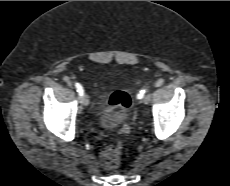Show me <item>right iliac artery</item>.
<instances>
[{"label": "right iliac artery", "instance_id": "obj_1", "mask_svg": "<svg viewBox=\"0 0 230 186\" xmlns=\"http://www.w3.org/2000/svg\"><path fill=\"white\" fill-rule=\"evenodd\" d=\"M75 87H76L77 92L79 93V95L82 96L83 93H84L83 87L79 83H75Z\"/></svg>", "mask_w": 230, "mask_h": 186}]
</instances>
